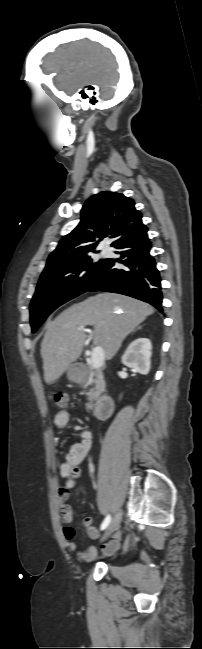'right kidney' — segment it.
I'll list each match as a JSON object with an SVG mask.
<instances>
[{"label": "right kidney", "mask_w": 202, "mask_h": 649, "mask_svg": "<svg viewBox=\"0 0 202 649\" xmlns=\"http://www.w3.org/2000/svg\"><path fill=\"white\" fill-rule=\"evenodd\" d=\"M151 341L137 338L131 342L122 356V363L136 372L146 375L150 370Z\"/></svg>", "instance_id": "ca27d5eb"}]
</instances>
